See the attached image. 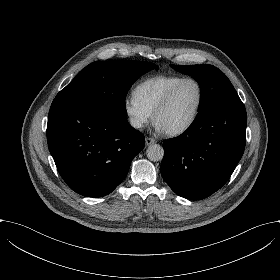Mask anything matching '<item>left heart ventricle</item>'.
I'll use <instances>...</instances> for the list:
<instances>
[{
	"mask_svg": "<svg viewBox=\"0 0 280 280\" xmlns=\"http://www.w3.org/2000/svg\"><path fill=\"white\" fill-rule=\"evenodd\" d=\"M199 100V89L196 83H184L175 93L170 105L162 111L157 120L168 130L188 122L195 113Z\"/></svg>",
	"mask_w": 280,
	"mask_h": 280,
	"instance_id": "left-heart-ventricle-1",
	"label": "left heart ventricle"
}]
</instances>
